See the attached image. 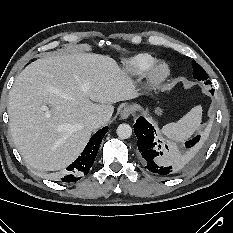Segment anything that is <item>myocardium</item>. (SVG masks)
<instances>
[{
	"label": "myocardium",
	"instance_id": "1",
	"mask_svg": "<svg viewBox=\"0 0 233 233\" xmlns=\"http://www.w3.org/2000/svg\"><path fill=\"white\" fill-rule=\"evenodd\" d=\"M170 75V67L165 61H158L147 71V85L155 88L164 83Z\"/></svg>",
	"mask_w": 233,
	"mask_h": 233
}]
</instances>
